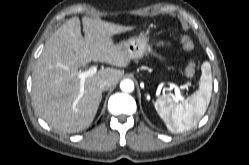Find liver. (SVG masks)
Returning a JSON list of instances; mask_svg holds the SVG:
<instances>
[{
	"label": "liver",
	"instance_id": "1",
	"mask_svg": "<svg viewBox=\"0 0 249 165\" xmlns=\"http://www.w3.org/2000/svg\"><path fill=\"white\" fill-rule=\"evenodd\" d=\"M73 17L60 26L46 42L32 79L35 111L52 128L69 133L86 129L93 122L102 98L99 83L109 80L117 85L124 71L101 69L85 79L83 94L77 74L91 61L126 67L133 57L112 40L113 35L130 31L98 18Z\"/></svg>",
	"mask_w": 249,
	"mask_h": 165
}]
</instances>
